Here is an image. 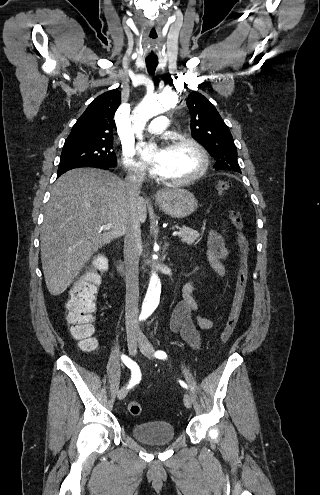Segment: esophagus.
Returning <instances> with one entry per match:
<instances>
[{"instance_id": "1", "label": "esophagus", "mask_w": 320, "mask_h": 495, "mask_svg": "<svg viewBox=\"0 0 320 495\" xmlns=\"http://www.w3.org/2000/svg\"><path fill=\"white\" fill-rule=\"evenodd\" d=\"M162 195H163V192H162V191H159V192H157V194H156V198H160Z\"/></svg>"}]
</instances>
